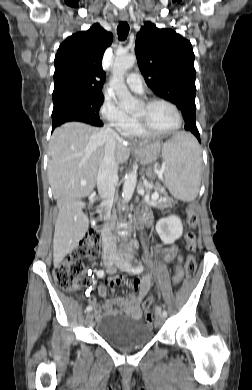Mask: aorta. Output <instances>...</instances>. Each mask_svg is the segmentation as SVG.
Listing matches in <instances>:
<instances>
[{
	"instance_id": "1",
	"label": "aorta",
	"mask_w": 252,
	"mask_h": 390,
	"mask_svg": "<svg viewBox=\"0 0 252 390\" xmlns=\"http://www.w3.org/2000/svg\"><path fill=\"white\" fill-rule=\"evenodd\" d=\"M136 62V57L131 54L118 55L115 58L112 67V78L110 80V87L114 90L119 107L126 112L134 111L138 106V100H136L129 92L126 84L124 75L128 69H130ZM137 183L136 172H130L126 175L125 182L123 185L122 199L124 202H129L133 196Z\"/></svg>"
}]
</instances>
